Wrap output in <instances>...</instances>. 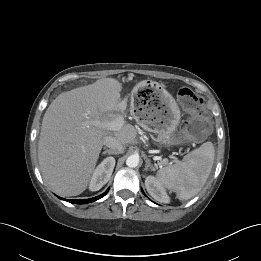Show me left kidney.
<instances>
[{"instance_id":"left-kidney-1","label":"left kidney","mask_w":261,"mask_h":261,"mask_svg":"<svg viewBox=\"0 0 261 261\" xmlns=\"http://www.w3.org/2000/svg\"><path fill=\"white\" fill-rule=\"evenodd\" d=\"M145 187L148 193L157 201L161 203H169L170 198L161 183L154 176H147L145 180Z\"/></svg>"}]
</instances>
